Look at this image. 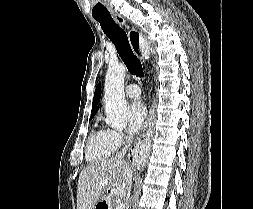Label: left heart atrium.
Listing matches in <instances>:
<instances>
[{
	"label": "left heart atrium",
	"mask_w": 253,
	"mask_h": 209,
	"mask_svg": "<svg viewBox=\"0 0 253 209\" xmlns=\"http://www.w3.org/2000/svg\"><path fill=\"white\" fill-rule=\"evenodd\" d=\"M147 119V108L141 101L134 102L129 112V131L137 133L140 131Z\"/></svg>",
	"instance_id": "39dd6f15"
}]
</instances>
